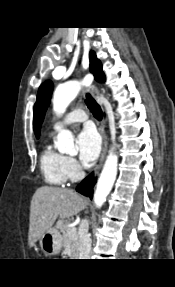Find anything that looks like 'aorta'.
Here are the masks:
<instances>
[{
  "mask_svg": "<svg viewBox=\"0 0 175 287\" xmlns=\"http://www.w3.org/2000/svg\"><path fill=\"white\" fill-rule=\"evenodd\" d=\"M80 89L81 83L77 81H71L58 86L53 97L54 111L58 115L63 114L68 105L76 98ZM55 145L61 153L73 154L77 152L74 146L73 135L69 130H61L58 133ZM117 166L118 157L112 149L109 151L94 193V203L97 208H100L104 204L107 195L113 187L117 176Z\"/></svg>",
  "mask_w": 175,
  "mask_h": 287,
  "instance_id": "obj_1",
  "label": "aorta"
}]
</instances>
